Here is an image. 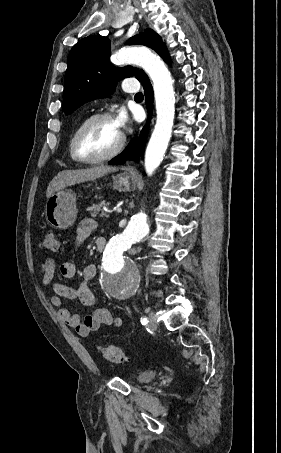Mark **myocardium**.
Wrapping results in <instances>:
<instances>
[{"mask_svg": "<svg viewBox=\"0 0 281 453\" xmlns=\"http://www.w3.org/2000/svg\"><path fill=\"white\" fill-rule=\"evenodd\" d=\"M112 116L109 113H97L94 114L87 119H85L80 126L77 128L75 135H74V150H73V156L76 160L86 163V164H94V163H101L107 160H110L114 157H116L124 148L125 143H126V136L124 133L121 134L120 141L118 144L108 153L95 157V158H85L80 151V142L81 139L84 135L85 130L87 127L96 121H112Z\"/></svg>", "mask_w": 281, "mask_h": 453, "instance_id": "myocardium-1", "label": "myocardium"}]
</instances>
